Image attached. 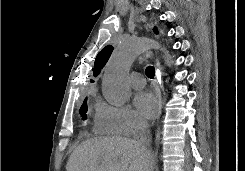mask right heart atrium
<instances>
[{
	"mask_svg": "<svg viewBox=\"0 0 245 171\" xmlns=\"http://www.w3.org/2000/svg\"><path fill=\"white\" fill-rule=\"evenodd\" d=\"M146 127L144 119L133 109L99 101L96 105L94 130L98 134L132 136Z\"/></svg>",
	"mask_w": 245,
	"mask_h": 171,
	"instance_id": "d8ad5b80",
	"label": "right heart atrium"
}]
</instances>
